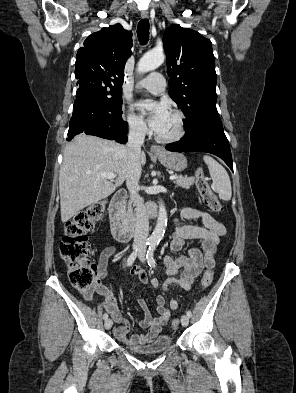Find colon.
Instances as JSON below:
<instances>
[{"instance_id": "5ec220e1", "label": "colon", "mask_w": 296, "mask_h": 393, "mask_svg": "<svg viewBox=\"0 0 296 393\" xmlns=\"http://www.w3.org/2000/svg\"><path fill=\"white\" fill-rule=\"evenodd\" d=\"M196 186L205 205L215 213L223 210L217 196L212 191L202 171L196 173ZM105 209L104 201H97L77 212L65 225L64 235L60 242V255L68 268L71 285L80 293L87 294L98 283L96 267L89 258L90 246L87 234L94 228ZM213 280V272L208 269L201 280V289L208 288ZM179 319L172 322L176 329Z\"/></svg>"}]
</instances>
